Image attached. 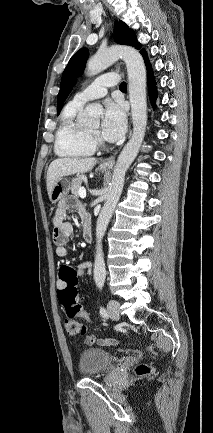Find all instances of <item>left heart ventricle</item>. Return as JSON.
Instances as JSON below:
<instances>
[{
	"label": "left heart ventricle",
	"instance_id": "obj_1",
	"mask_svg": "<svg viewBox=\"0 0 213 433\" xmlns=\"http://www.w3.org/2000/svg\"><path fill=\"white\" fill-rule=\"evenodd\" d=\"M89 131H91V132H93V133H95V134L100 135V127H99L98 124L95 125V126H93V127H91V128L89 129ZM100 136H101V135H100Z\"/></svg>",
	"mask_w": 213,
	"mask_h": 433
}]
</instances>
